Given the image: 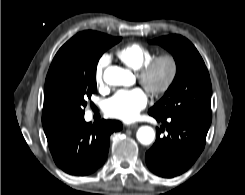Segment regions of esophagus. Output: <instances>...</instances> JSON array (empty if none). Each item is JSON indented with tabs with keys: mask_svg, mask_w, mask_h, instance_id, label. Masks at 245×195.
I'll list each match as a JSON object with an SVG mask.
<instances>
[{
	"mask_svg": "<svg viewBox=\"0 0 245 195\" xmlns=\"http://www.w3.org/2000/svg\"><path fill=\"white\" fill-rule=\"evenodd\" d=\"M126 127L129 128V129H133V128L138 127V124H137V123H134V124H127Z\"/></svg>",
	"mask_w": 245,
	"mask_h": 195,
	"instance_id": "34e87169",
	"label": "esophagus"
}]
</instances>
